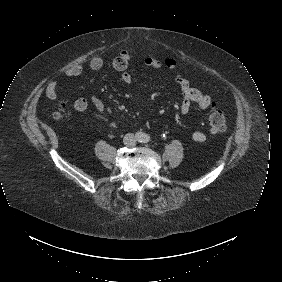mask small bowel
<instances>
[{"label": "small bowel", "instance_id": "obj_1", "mask_svg": "<svg viewBox=\"0 0 282 282\" xmlns=\"http://www.w3.org/2000/svg\"><path fill=\"white\" fill-rule=\"evenodd\" d=\"M131 60V54L127 50H123L120 54L113 60V67L117 71L122 72L119 82L122 85H128L132 82V76L127 71L129 62ZM144 64L147 67H150L155 70H159L161 68V63L158 59L153 57H147L144 60ZM104 66V61L100 57H94L89 63V67L93 71H98ZM85 70V67L81 64L72 66L66 69L61 77L52 79L46 87V96L50 100H54L57 97V88L60 83V79L62 77H76L81 75ZM180 91L182 93V101L180 104V112L182 114H186L190 111L193 104H196L200 109H207L211 105V98L209 95L199 91L195 87H193L187 79L184 80H176ZM93 106L97 111L98 117L100 119H104L107 108L104 101L97 97L92 96L90 98H79L73 102V107L77 111H84L88 107ZM110 128L117 129L119 126L117 123L112 122L109 124ZM193 141L197 143H204L207 140V136L203 131L196 130L192 133Z\"/></svg>", "mask_w": 282, "mask_h": 282}]
</instances>
